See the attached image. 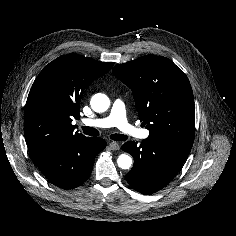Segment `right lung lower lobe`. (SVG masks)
Here are the masks:
<instances>
[{
  "label": "right lung lower lobe",
  "mask_w": 236,
  "mask_h": 236,
  "mask_svg": "<svg viewBox=\"0 0 236 236\" xmlns=\"http://www.w3.org/2000/svg\"><path fill=\"white\" fill-rule=\"evenodd\" d=\"M106 146L102 138L77 139L32 159L52 184L68 190L86 181L96 155Z\"/></svg>",
  "instance_id": "obj_1"
}]
</instances>
